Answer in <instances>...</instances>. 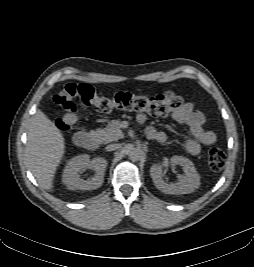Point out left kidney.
I'll return each instance as SVG.
<instances>
[{
	"label": "left kidney",
	"mask_w": 254,
	"mask_h": 267,
	"mask_svg": "<svg viewBox=\"0 0 254 267\" xmlns=\"http://www.w3.org/2000/svg\"><path fill=\"white\" fill-rule=\"evenodd\" d=\"M171 162L183 168L184 175H178L177 183H166L162 178V166L153 164L150 168V175L154 185L158 190L166 194H188L200 186V176L197 173L194 164L185 157L173 156Z\"/></svg>",
	"instance_id": "1"
}]
</instances>
